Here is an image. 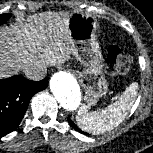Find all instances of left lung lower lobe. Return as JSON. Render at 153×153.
Masks as SVG:
<instances>
[{
    "mask_svg": "<svg viewBox=\"0 0 153 153\" xmlns=\"http://www.w3.org/2000/svg\"><path fill=\"white\" fill-rule=\"evenodd\" d=\"M68 121H69V123L71 124V126H72L75 130H77L78 132H80V133H82V134L88 135L87 133L81 131V130L73 123V121L71 120L70 116L68 117Z\"/></svg>",
    "mask_w": 153,
    "mask_h": 153,
    "instance_id": "0a47b994",
    "label": "left lung lower lobe"
}]
</instances>
